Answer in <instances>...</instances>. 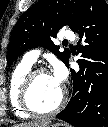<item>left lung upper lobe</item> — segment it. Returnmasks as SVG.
<instances>
[{
	"mask_svg": "<svg viewBox=\"0 0 108 127\" xmlns=\"http://www.w3.org/2000/svg\"><path fill=\"white\" fill-rule=\"evenodd\" d=\"M83 2L84 0H39L24 12L11 34L7 56L8 66L24 51L38 46L47 48L67 64L69 51L60 52L51 38L55 37L65 25L74 29ZM96 74L99 73H94Z\"/></svg>",
	"mask_w": 108,
	"mask_h": 127,
	"instance_id": "obj_1",
	"label": "left lung upper lobe"
}]
</instances>
